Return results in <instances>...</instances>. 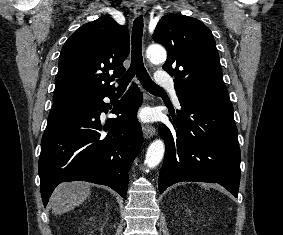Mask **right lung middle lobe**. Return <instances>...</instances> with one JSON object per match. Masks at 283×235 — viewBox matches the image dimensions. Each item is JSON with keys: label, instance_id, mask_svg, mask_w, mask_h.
<instances>
[{"label": "right lung middle lobe", "instance_id": "1", "mask_svg": "<svg viewBox=\"0 0 283 235\" xmlns=\"http://www.w3.org/2000/svg\"><path fill=\"white\" fill-rule=\"evenodd\" d=\"M86 100H75L61 103H54L48 117V125L60 122L76 113Z\"/></svg>", "mask_w": 283, "mask_h": 235}]
</instances>
